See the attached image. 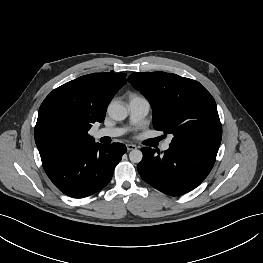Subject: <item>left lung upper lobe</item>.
<instances>
[{
    "mask_svg": "<svg viewBox=\"0 0 263 263\" xmlns=\"http://www.w3.org/2000/svg\"><path fill=\"white\" fill-rule=\"evenodd\" d=\"M128 81L150 102L154 128L173 135L171 144L219 148L216 103L199 82L165 72L133 73Z\"/></svg>",
    "mask_w": 263,
    "mask_h": 263,
    "instance_id": "5c2ea615",
    "label": "left lung upper lobe"
}]
</instances>
